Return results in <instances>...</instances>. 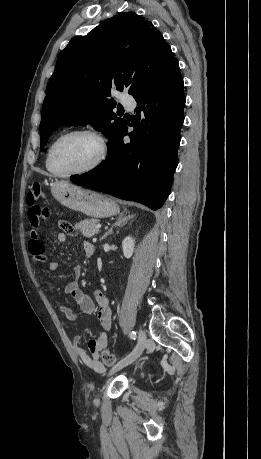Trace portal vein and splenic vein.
Here are the masks:
<instances>
[{
	"label": "portal vein and splenic vein",
	"mask_w": 261,
	"mask_h": 459,
	"mask_svg": "<svg viewBox=\"0 0 261 459\" xmlns=\"http://www.w3.org/2000/svg\"><path fill=\"white\" fill-rule=\"evenodd\" d=\"M96 227H97L98 229H100V228H101V224H97Z\"/></svg>",
	"instance_id": "1"
}]
</instances>
